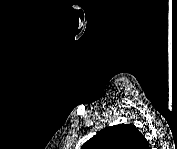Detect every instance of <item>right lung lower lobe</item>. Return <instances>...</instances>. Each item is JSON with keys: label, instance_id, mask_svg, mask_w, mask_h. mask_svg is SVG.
<instances>
[{"label": "right lung lower lobe", "instance_id": "1", "mask_svg": "<svg viewBox=\"0 0 177 149\" xmlns=\"http://www.w3.org/2000/svg\"><path fill=\"white\" fill-rule=\"evenodd\" d=\"M146 146H148V142L146 141Z\"/></svg>", "mask_w": 177, "mask_h": 149}]
</instances>
